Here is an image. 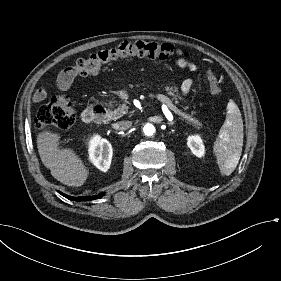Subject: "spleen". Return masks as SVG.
I'll use <instances>...</instances> for the list:
<instances>
[{"instance_id": "spleen-1", "label": "spleen", "mask_w": 281, "mask_h": 281, "mask_svg": "<svg viewBox=\"0 0 281 281\" xmlns=\"http://www.w3.org/2000/svg\"><path fill=\"white\" fill-rule=\"evenodd\" d=\"M243 120L233 101L227 104L226 121L214 143V153L222 175L229 176L237 167L243 147Z\"/></svg>"}]
</instances>
